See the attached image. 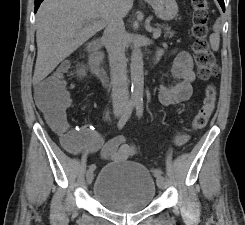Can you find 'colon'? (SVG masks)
<instances>
[{
	"label": "colon",
	"mask_w": 245,
	"mask_h": 225,
	"mask_svg": "<svg viewBox=\"0 0 245 225\" xmlns=\"http://www.w3.org/2000/svg\"><path fill=\"white\" fill-rule=\"evenodd\" d=\"M193 26L192 33L195 37L193 45L194 60L198 74L203 79H211L218 75L219 68L214 54L205 39L207 34L208 4L206 0H192ZM216 100V90L209 84L204 93L203 105L192 120L193 129H202L210 121ZM37 101L51 116H59L68 107V93L66 80L60 74L44 80L38 87ZM63 145L69 147L71 140L69 133L62 135Z\"/></svg>",
	"instance_id": "colon-1"
}]
</instances>
